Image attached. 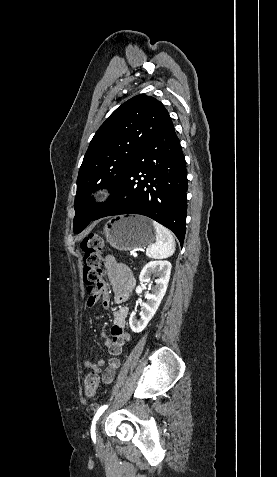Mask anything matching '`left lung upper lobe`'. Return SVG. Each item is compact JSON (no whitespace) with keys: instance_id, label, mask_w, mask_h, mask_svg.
Listing matches in <instances>:
<instances>
[{"instance_id":"left-lung-upper-lobe-1","label":"left lung upper lobe","mask_w":277,"mask_h":477,"mask_svg":"<svg viewBox=\"0 0 277 477\" xmlns=\"http://www.w3.org/2000/svg\"><path fill=\"white\" fill-rule=\"evenodd\" d=\"M171 118L163 104L144 94L135 96L101 125L92 138L77 178L73 231H82L106 204H95L91 194L112 192L141 149Z\"/></svg>"}]
</instances>
